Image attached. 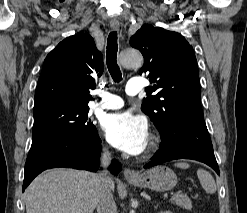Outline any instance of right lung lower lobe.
I'll return each instance as SVG.
<instances>
[{"mask_svg":"<svg viewBox=\"0 0 247 213\" xmlns=\"http://www.w3.org/2000/svg\"><path fill=\"white\" fill-rule=\"evenodd\" d=\"M101 140L84 138L76 131L40 137L32 142L24 172L23 191L42 171L56 167L97 171L100 165ZM117 175L121 165L113 161L109 168Z\"/></svg>","mask_w":247,"mask_h":213,"instance_id":"98d812e1","label":"right lung lower lobe"}]
</instances>
